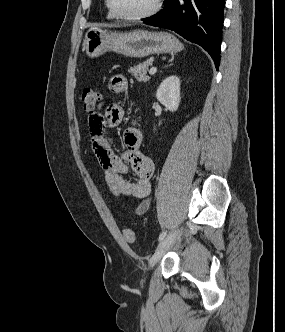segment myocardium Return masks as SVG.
<instances>
[{
	"mask_svg": "<svg viewBox=\"0 0 285 332\" xmlns=\"http://www.w3.org/2000/svg\"><path fill=\"white\" fill-rule=\"evenodd\" d=\"M105 1L109 12L112 14L114 18L123 21H140L156 15L160 11L164 0H156L154 6L150 10L137 15H122L114 9L112 5V0H105Z\"/></svg>",
	"mask_w": 285,
	"mask_h": 332,
	"instance_id": "1",
	"label": "myocardium"
}]
</instances>
